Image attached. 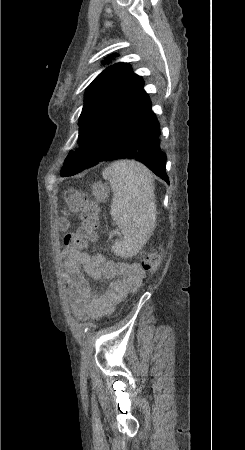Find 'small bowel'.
I'll list each match as a JSON object with an SVG mask.
<instances>
[{
    "label": "small bowel",
    "mask_w": 245,
    "mask_h": 450,
    "mask_svg": "<svg viewBox=\"0 0 245 450\" xmlns=\"http://www.w3.org/2000/svg\"><path fill=\"white\" fill-rule=\"evenodd\" d=\"M63 256L70 289V308L83 319H99L112 314L123 298L142 284L144 278V272L137 264H116L101 252L78 254L65 249ZM85 273L94 279L112 280L110 288L98 294Z\"/></svg>",
    "instance_id": "c3829d8e"
}]
</instances>
